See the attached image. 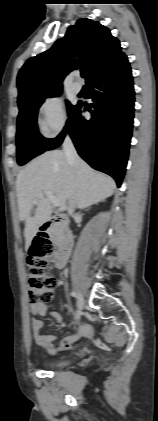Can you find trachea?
Wrapping results in <instances>:
<instances>
[{
    "label": "trachea",
    "mask_w": 158,
    "mask_h": 421,
    "mask_svg": "<svg viewBox=\"0 0 158 421\" xmlns=\"http://www.w3.org/2000/svg\"><path fill=\"white\" fill-rule=\"evenodd\" d=\"M81 76H82V77H84V76H85V72H82V73H81Z\"/></svg>",
    "instance_id": "3493384b"
}]
</instances>
